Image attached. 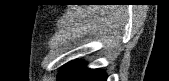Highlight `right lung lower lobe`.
<instances>
[{
    "label": "right lung lower lobe",
    "instance_id": "1",
    "mask_svg": "<svg viewBox=\"0 0 169 81\" xmlns=\"http://www.w3.org/2000/svg\"><path fill=\"white\" fill-rule=\"evenodd\" d=\"M59 81H105L106 74L98 69H87L82 63L71 62L63 68Z\"/></svg>",
    "mask_w": 169,
    "mask_h": 81
}]
</instances>
